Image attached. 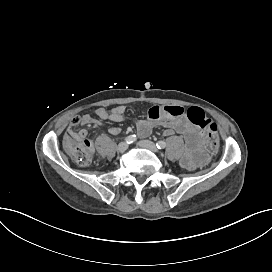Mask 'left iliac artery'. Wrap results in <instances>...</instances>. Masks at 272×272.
<instances>
[{"label":"left iliac artery","mask_w":272,"mask_h":272,"mask_svg":"<svg viewBox=\"0 0 272 272\" xmlns=\"http://www.w3.org/2000/svg\"><path fill=\"white\" fill-rule=\"evenodd\" d=\"M156 146L158 149H164L166 147V143L164 141H158Z\"/></svg>","instance_id":"44dca946"}]
</instances>
